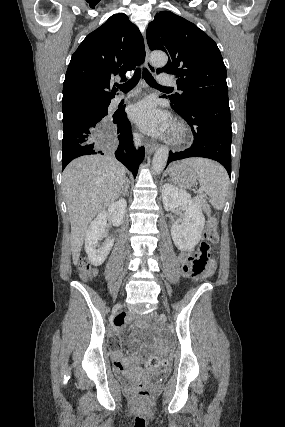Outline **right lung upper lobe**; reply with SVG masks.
<instances>
[{"label": "right lung upper lobe", "instance_id": "1", "mask_svg": "<svg viewBox=\"0 0 285 427\" xmlns=\"http://www.w3.org/2000/svg\"><path fill=\"white\" fill-rule=\"evenodd\" d=\"M145 59L139 29L123 14L112 15L90 33L71 57L63 85V116L95 104L110 102L117 79Z\"/></svg>", "mask_w": 285, "mask_h": 427}]
</instances>
